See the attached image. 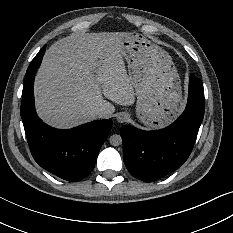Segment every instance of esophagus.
I'll use <instances>...</instances> for the list:
<instances>
[{
	"mask_svg": "<svg viewBox=\"0 0 233 233\" xmlns=\"http://www.w3.org/2000/svg\"><path fill=\"white\" fill-rule=\"evenodd\" d=\"M128 118H129V115H128L127 113H125V112L119 113V114L117 115V117H116V119H117V121H118L119 123H124V122H126V121L128 120Z\"/></svg>",
	"mask_w": 233,
	"mask_h": 233,
	"instance_id": "obj_1",
	"label": "esophagus"
}]
</instances>
